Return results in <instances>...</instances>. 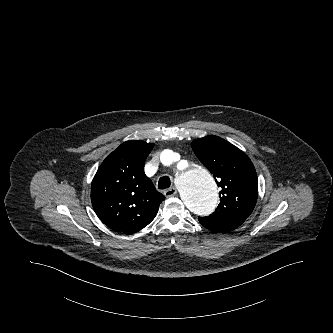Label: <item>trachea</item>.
<instances>
[{
    "mask_svg": "<svg viewBox=\"0 0 333 333\" xmlns=\"http://www.w3.org/2000/svg\"><path fill=\"white\" fill-rule=\"evenodd\" d=\"M171 181L168 176L161 177L158 182V188L159 189H166L170 187Z\"/></svg>",
    "mask_w": 333,
    "mask_h": 333,
    "instance_id": "obj_1",
    "label": "trachea"
}]
</instances>
